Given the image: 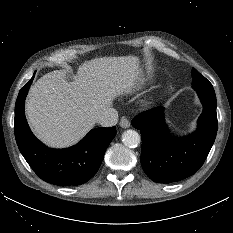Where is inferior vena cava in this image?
Masks as SVG:
<instances>
[{
    "label": "inferior vena cava",
    "instance_id": "inferior-vena-cava-1",
    "mask_svg": "<svg viewBox=\"0 0 233 233\" xmlns=\"http://www.w3.org/2000/svg\"><path fill=\"white\" fill-rule=\"evenodd\" d=\"M118 112L114 108H108L98 118L97 122L103 127H111L117 124Z\"/></svg>",
    "mask_w": 233,
    "mask_h": 233
}]
</instances>
